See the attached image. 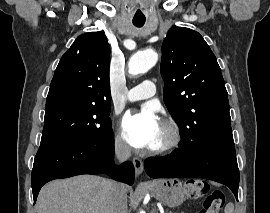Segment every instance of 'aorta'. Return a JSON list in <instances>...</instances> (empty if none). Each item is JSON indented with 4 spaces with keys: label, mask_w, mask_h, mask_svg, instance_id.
<instances>
[{
    "label": "aorta",
    "mask_w": 270,
    "mask_h": 213,
    "mask_svg": "<svg viewBox=\"0 0 270 213\" xmlns=\"http://www.w3.org/2000/svg\"><path fill=\"white\" fill-rule=\"evenodd\" d=\"M158 61V54L153 50L135 53L128 62L129 74L138 75L147 72Z\"/></svg>",
    "instance_id": "obj_1"
}]
</instances>
